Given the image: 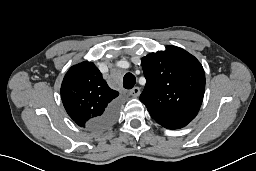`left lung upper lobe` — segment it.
I'll return each mask as SVG.
<instances>
[{
    "mask_svg": "<svg viewBox=\"0 0 256 171\" xmlns=\"http://www.w3.org/2000/svg\"><path fill=\"white\" fill-rule=\"evenodd\" d=\"M146 78L140 101L151 117L167 129L186 126L197 115L205 90L200 62L176 46L141 59Z\"/></svg>",
    "mask_w": 256,
    "mask_h": 171,
    "instance_id": "5c2ea615",
    "label": "left lung upper lobe"
}]
</instances>
